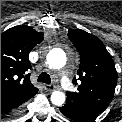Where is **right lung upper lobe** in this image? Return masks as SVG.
I'll use <instances>...</instances> for the list:
<instances>
[{
	"mask_svg": "<svg viewBox=\"0 0 122 122\" xmlns=\"http://www.w3.org/2000/svg\"><path fill=\"white\" fill-rule=\"evenodd\" d=\"M43 41V33L19 25L1 34V100L11 98L23 102L32 98L38 89L30 82L28 59L34 46Z\"/></svg>",
	"mask_w": 122,
	"mask_h": 122,
	"instance_id": "obj_1",
	"label": "right lung upper lobe"
}]
</instances>
